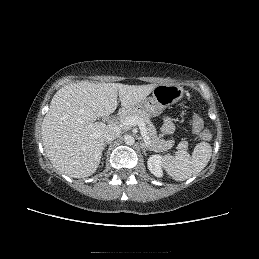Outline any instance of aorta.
Returning <instances> with one entry per match:
<instances>
[{
	"label": "aorta",
	"instance_id": "762f6f07",
	"mask_svg": "<svg viewBox=\"0 0 259 259\" xmlns=\"http://www.w3.org/2000/svg\"><path fill=\"white\" fill-rule=\"evenodd\" d=\"M124 142H125L126 145H130L131 146V145H133L135 143V139H134L133 136L127 135L124 138Z\"/></svg>",
	"mask_w": 259,
	"mask_h": 259
}]
</instances>
